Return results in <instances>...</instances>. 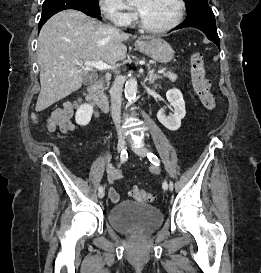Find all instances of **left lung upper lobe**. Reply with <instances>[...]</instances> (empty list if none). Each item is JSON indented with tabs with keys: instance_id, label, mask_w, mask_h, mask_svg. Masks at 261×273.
Masks as SVG:
<instances>
[{
	"instance_id": "left-lung-upper-lobe-1",
	"label": "left lung upper lobe",
	"mask_w": 261,
	"mask_h": 273,
	"mask_svg": "<svg viewBox=\"0 0 261 273\" xmlns=\"http://www.w3.org/2000/svg\"><path fill=\"white\" fill-rule=\"evenodd\" d=\"M187 8V13H189L193 8L208 4L207 0H184Z\"/></svg>"
}]
</instances>
